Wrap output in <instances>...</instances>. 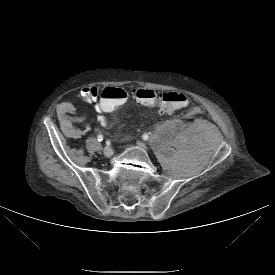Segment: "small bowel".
<instances>
[{
    "label": "small bowel",
    "mask_w": 275,
    "mask_h": 275,
    "mask_svg": "<svg viewBox=\"0 0 275 275\" xmlns=\"http://www.w3.org/2000/svg\"><path fill=\"white\" fill-rule=\"evenodd\" d=\"M100 97V89L96 86H88L82 88L77 93V98L86 103L97 102ZM58 117L60 118L61 127L66 134V136L70 138H80L83 134V131L77 128L70 119L73 117L74 105L70 101H63L60 103L58 108ZM96 109L98 111L97 105ZM99 113V111H98ZM98 121L102 126L108 125V119L105 115L99 113Z\"/></svg>",
    "instance_id": "1"
}]
</instances>
